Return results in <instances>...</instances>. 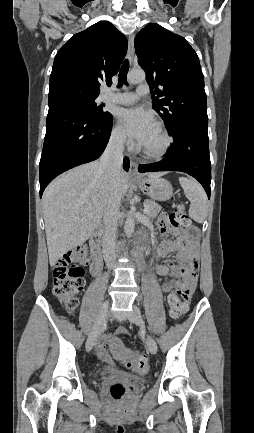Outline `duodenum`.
<instances>
[{"mask_svg":"<svg viewBox=\"0 0 254 433\" xmlns=\"http://www.w3.org/2000/svg\"><path fill=\"white\" fill-rule=\"evenodd\" d=\"M90 248L92 253L90 270L93 275H97L102 265V248H101V238L99 234H94L90 238Z\"/></svg>","mask_w":254,"mask_h":433,"instance_id":"obj_1","label":"duodenum"}]
</instances>
